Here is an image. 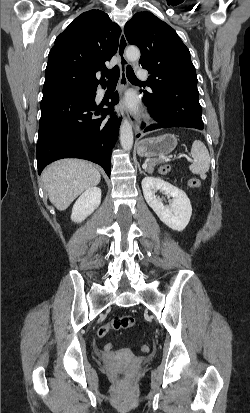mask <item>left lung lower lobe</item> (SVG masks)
<instances>
[{
	"label": "left lung lower lobe",
	"mask_w": 250,
	"mask_h": 413,
	"mask_svg": "<svg viewBox=\"0 0 250 413\" xmlns=\"http://www.w3.org/2000/svg\"><path fill=\"white\" fill-rule=\"evenodd\" d=\"M143 102L158 123L148 127H144L145 124H143L142 132L170 127L202 130L204 127L197 86L191 84L171 86L164 93L144 91ZM139 136L140 134L137 135Z\"/></svg>",
	"instance_id": "obj_1"
}]
</instances>
